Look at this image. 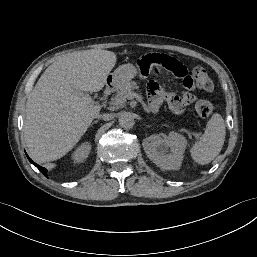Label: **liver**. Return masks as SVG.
Listing matches in <instances>:
<instances>
[{
	"label": "liver",
	"mask_w": 257,
	"mask_h": 257,
	"mask_svg": "<svg viewBox=\"0 0 257 257\" xmlns=\"http://www.w3.org/2000/svg\"><path fill=\"white\" fill-rule=\"evenodd\" d=\"M116 64L114 52L77 51L52 63L26 102L24 139L40 163L60 159L84 135L101 107L87 92L100 91Z\"/></svg>",
	"instance_id": "6515ba94"
}]
</instances>
